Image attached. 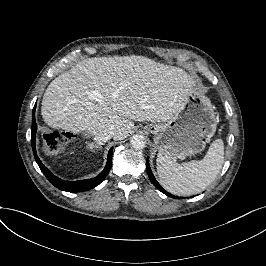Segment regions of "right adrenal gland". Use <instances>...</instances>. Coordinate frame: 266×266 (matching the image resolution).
Returning <instances> with one entry per match:
<instances>
[{"mask_svg":"<svg viewBox=\"0 0 266 266\" xmlns=\"http://www.w3.org/2000/svg\"><path fill=\"white\" fill-rule=\"evenodd\" d=\"M88 146L90 148V151H94V148L98 149V150H101L102 149V146H99L97 144H95L94 142H90L88 143Z\"/></svg>","mask_w":266,"mask_h":266,"instance_id":"1","label":"right adrenal gland"}]
</instances>
